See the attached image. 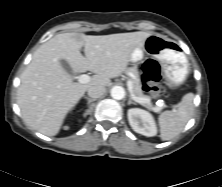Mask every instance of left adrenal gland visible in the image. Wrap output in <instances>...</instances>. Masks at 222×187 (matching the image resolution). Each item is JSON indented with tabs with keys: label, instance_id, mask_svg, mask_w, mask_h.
<instances>
[{
	"label": "left adrenal gland",
	"instance_id": "1",
	"mask_svg": "<svg viewBox=\"0 0 222 187\" xmlns=\"http://www.w3.org/2000/svg\"><path fill=\"white\" fill-rule=\"evenodd\" d=\"M130 104L136 105V102H134L131 97L129 98V101H128V105H130Z\"/></svg>",
	"mask_w": 222,
	"mask_h": 187
}]
</instances>
